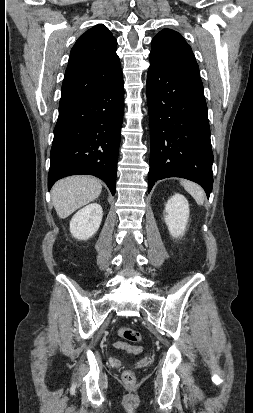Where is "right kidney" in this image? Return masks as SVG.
I'll use <instances>...</instances> for the list:
<instances>
[{"mask_svg":"<svg viewBox=\"0 0 253 413\" xmlns=\"http://www.w3.org/2000/svg\"><path fill=\"white\" fill-rule=\"evenodd\" d=\"M102 207L92 203L79 210L70 221V232L78 240H88L99 229L102 221Z\"/></svg>","mask_w":253,"mask_h":413,"instance_id":"1","label":"right kidney"}]
</instances>
